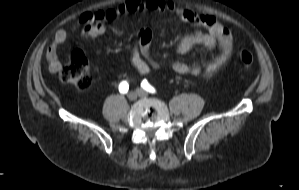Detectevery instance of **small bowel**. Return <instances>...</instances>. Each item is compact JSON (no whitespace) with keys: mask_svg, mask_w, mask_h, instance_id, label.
Instances as JSON below:
<instances>
[{"mask_svg":"<svg viewBox=\"0 0 299 190\" xmlns=\"http://www.w3.org/2000/svg\"><path fill=\"white\" fill-rule=\"evenodd\" d=\"M139 10L168 11L176 14L186 23L199 25L206 29V32H196L182 38L177 46L178 55H186L197 45L208 49L218 46V53L203 65L196 61L173 62L170 68L175 73L211 76L229 61L233 51V36L228 28L220 24L213 15H199L165 0H125L121 4L107 9L84 12L80 16L82 34L87 38H98L107 31L105 21L114 20L123 14ZM115 33L121 34L120 31H115ZM68 39L69 33L66 30H58L47 49L46 57L49 70L52 73H57L62 67L58 49ZM129 59L140 75H146L151 69L162 66V62L154 58L152 54V32L149 28L141 29L138 44L131 48Z\"/></svg>","mask_w":299,"mask_h":190,"instance_id":"1","label":"small bowel"}]
</instances>
